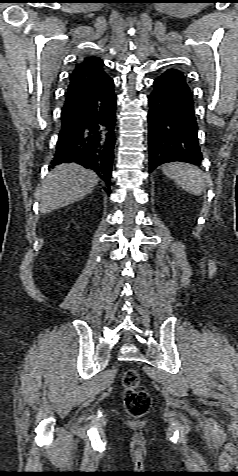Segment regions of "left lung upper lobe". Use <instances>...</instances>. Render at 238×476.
Segmentation results:
<instances>
[{
    "mask_svg": "<svg viewBox=\"0 0 238 476\" xmlns=\"http://www.w3.org/2000/svg\"><path fill=\"white\" fill-rule=\"evenodd\" d=\"M174 70H175L176 72H178V73L182 74V76L185 78V76L183 75V73H182V72H180V71H178V70H176V69H174ZM185 79H186V78H185Z\"/></svg>",
    "mask_w": 238,
    "mask_h": 476,
    "instance_id": "left-lung-upper-lobe-1",
    "label": "left lung upper lobe"
}]
</instances>
